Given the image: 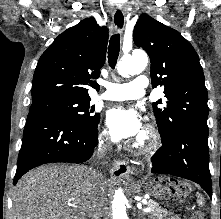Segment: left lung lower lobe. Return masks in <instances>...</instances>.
Listing matches in <instances>:
<instances>
[{"mask_svg": "<svg viewBox=\"0 0 221 219\" xmlns=\"http://www.w3.org/2000/svg\"><path fill=\"white\" fill-rule=\"evenodd\" d=\"M151 172L191 180L212 198L208 130L188 125L162 139V147L152 157Z\"/></svg>", "mask_w": 221, "mask_h": 219, "instance_id": "left-lung-lower-lobe-1", "label": "left lung lower lobe"}]
</instances>
